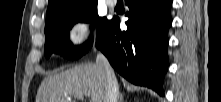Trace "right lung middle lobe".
<instances>
[{
  "label": "right lung middle lobe",
  "mask_w": 221,
  "mask_h": 102,
  "mask_svg": "<svg viewBox=\"0 0 221 102\" xmlns=\"http://www.w3.org/2000/svg\"><path fill=\"white\" fill-rule=\"evenodd\" d=\"M96 26V38L109 21L97 14V2L89 3L80 7L63 9L46 20L45 25V55L47 58L52 53L60 54L68 59H78L83 56L92 46V40L81 46H74L70 40V29L78 22H91Z\"/></svg>",
  "instance_id": "right-lung-middle-lobe-1"
}]
</instances>
